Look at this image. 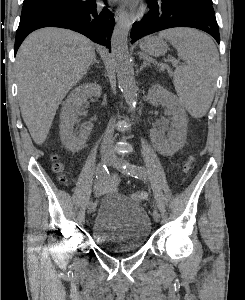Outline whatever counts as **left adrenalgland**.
Here are the masks:
<instances>
[{"mask_svg":"<svg viewBox=\"0 0 245 300\" xmlns=\"http://www.w3.org/2000/svg\"><path fill=\"white\" fill-rule=\"evenodd\" d=\"M143 60L144 61H143V64L141 65V67H140V71H142L145 67H149L150 66L149 63L147 62V60L145 58Z\"/></svg>","mask_w":245,"mask_h":300,"instance_id":"left-adrenal-gland-1","label":"left adrenal gland"}]
</instances>
